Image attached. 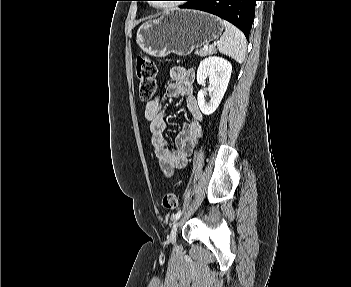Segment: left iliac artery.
I'll list each match as a JSON object with an SVG mask.
<instances>
[{"instance_id": "left-iliac-artery-1", "label": "left iliac artery", "mask_w": 351, "mask_h": 287, "mask_svg": "<svg viewBox=\"0 0 351 287\" xmlns=\"http://www.w3.org/2000/svg\"><path fill=\"white\" fill-rule=\"evenodd\" d=\"M181 214H182V211L180 210V211H178L175 215L172 216V219H173L174 221H176L177 219L180 218Z\"/></svg>"}]
</instances>
